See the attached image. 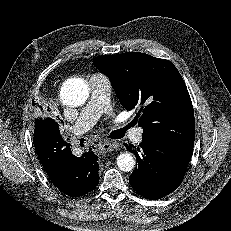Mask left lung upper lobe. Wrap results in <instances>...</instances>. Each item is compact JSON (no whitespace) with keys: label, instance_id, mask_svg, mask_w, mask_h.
Here are the masks:
<instances>
[{"label":"left lung upper lobe","instance_id":"left-lung-upper-lobe-1","mask_svg":"<svg viewBox=\"0 0 231 231\" xmlns=\"http://www.w3.org/2000/svg\"><path fill=\"white\" fill-rule=\"evenodd\" d=\"M93 64L109 76L121 104L135 109L143 138L171 146H194L195 120L187 87L174 64L145 53L96 57Z\"/></svg>","mask_w":231,"mask_h":231}]
</instances>
